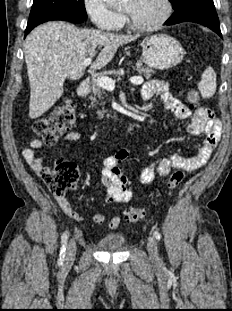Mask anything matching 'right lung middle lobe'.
Returning <instances> with one entry per match:
<instances>
[{"mask_svg": "<svg viewBox=\"0 0 232 311\" xmlns=\"http://www.w3.org/2000/svg\"><path fill=\"white\" fill-rule=\"evenodd\" d=\"M63 11L87 18L84 0H34L30 17L44 12Z\"/></svg>", "mask_w": 232, "mask_h": 311, "instance_id": "1", "label": "right lung middle lobe"}]
</instances>
